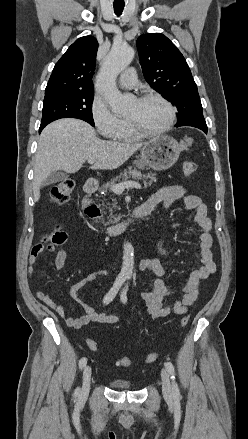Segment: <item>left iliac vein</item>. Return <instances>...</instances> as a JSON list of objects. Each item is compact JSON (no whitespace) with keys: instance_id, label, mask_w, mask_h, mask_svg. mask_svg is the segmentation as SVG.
<instances>
[{"instance_id":"left-iliac-vein-1","label":"left iliac vein","mask_w":248,"mask_h":439,"mask_svg":"<svg viewBox=\"0 0 248 439\" xmlns=\"http://www.w3.org/2000/svg\"><path fill=\"white\" fill-rule=\"evenodd\" d=\"M162 392L166 399L171 400L173 396L172 385L166 369L161 370Z\"/></svg>"}]
</instances>
